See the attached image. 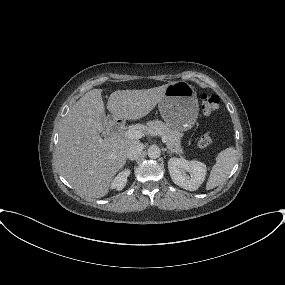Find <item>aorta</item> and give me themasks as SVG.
<instances>
[{"instance_id": "aorta-1", "label": "aorta", "mask_w": 285, "mask_h": 285, "mask_svg": "<svg viewBox=\"0 0 285 285\" xmlns=\"http://www.w3.org/2000/svg\"><path fill=\"white\" fill-rule=\"evenodd\" d=\"M147 153H148V157H149V158H151V159H157V158H159L160 155H161V150H160V148H159L158 146L153 145V146H150V147L148 148Z\"/></svg>"}]
</instances>
